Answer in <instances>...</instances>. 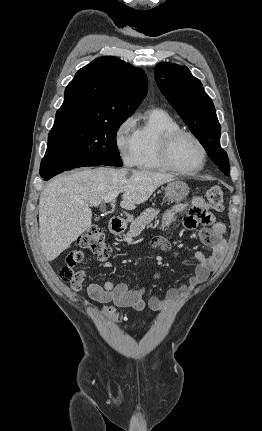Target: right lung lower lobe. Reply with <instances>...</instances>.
<instances>
[{
	"label": "right lung lower lobe",
	"mask_w": 262,
	"mask_h": 431,
	"mask_svg": "<svg viewBox=\"0 0 262 431\" xmlns=\"http://www.w3.org/2000/svg\"><path fill=\"white\" fill-rule=\"evenodd\" d=\"M97 165L101 164L76 159H43L40 166V175L43 179L49 180L55 175L69 169Z\"/></svg>",
	"instance_id": "obj_1"
}]
</instances>
